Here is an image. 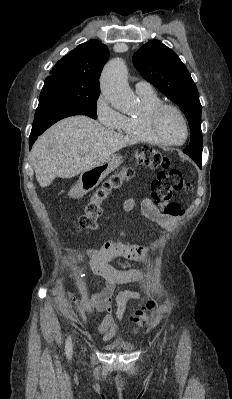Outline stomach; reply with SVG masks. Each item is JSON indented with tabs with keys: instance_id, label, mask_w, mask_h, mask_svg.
<instances>
[{
	"instance_id": "stomach-1",
	"label": "stomach",
	"mask_w": 232,
	"mask_h": 399,
	"mask_svg": "<svg viewBox=\"0 0 232 399\" xmlns=\"http://www.w3.org/2000/svg\"><path fill=\"white\" fill-rule=\"evenodd\" d=\"M122 162V156L111 154V156L105 158L99 166H95V168H91V170H87V172H82L80 176V192H82V194H87V192L99 186L100 182H102L110 172H114Z\"/></svg>"
}]
</instances>
